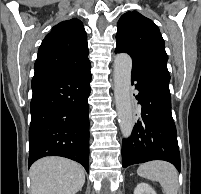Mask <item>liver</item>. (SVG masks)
<instances>
[{"mask_svg": "<svg viewBox=\"0 0 201 194\" xmlns=\"http://www.w3.org/2000/svg\"><path fill=\"white\" fill-rule=\"evenodd\" d=\"M31 194H76L85 183L81 165L62 157H45L30 168Z\"/></svg>", "mask_w": 201, "mask_h": 194, "instance_id": "obj_1", "label": "liver"}]
</instances>
